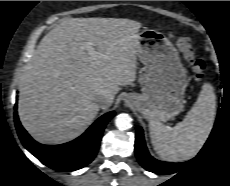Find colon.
<instances>
[{"instance_id": "5ec220e1", "label": "colon", "mask_w": 230, "mask_h": 186, "mask_svg": "<svg viewBox=\"0 0 230 186\" xmlns=\"http://www.w3.org/2000/svg\"><path fill=\"white\" fill-rule=\"evenodd\" d=\"M176 45L191 67L195 79L198 81L203 80L207 73V63L205 60L197 56L190 39L186 37H177Z\"/></svg>"}]
</instances>
